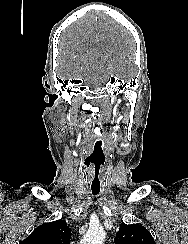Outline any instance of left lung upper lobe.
Wrapping results in <instances>:
<instances>
[{"label":"left lung upper lobe","instance_id":"1","mask_svg":"<svg viewBox=\"0 0 188 244\" xmlns=\"http://www.w3.org/2000/svg\"><path fill=\"white\" fill-rule=\"evenodd\" d=\"M115 244H156L150 232L142 225L121 223Z\"/></svg>","mask_w":188,"mask_h":244}]
</instances>
